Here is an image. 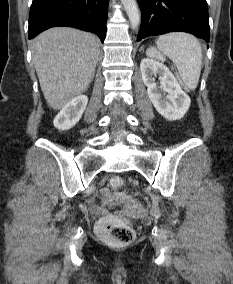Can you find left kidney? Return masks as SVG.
I'll return each instance as SVG.
<instances>
[{
    "instance_id": "5707ae66",
    "label": "left kidney",
    "mask_w": 233,
    "mask_h": 284,
    "mask_svg": "<svg viewBox=\"0 0 233 284\" xmlns=\"http://www.w3.org/2000/svg\"><path fill=\"white\" fill-rule=\"evenodd\" d=\"M140 70L149 99L158 113L170 121L184 117L191 101L172 72L164 64L150 58L142 59ZM153 75H159L160 87Z\"/></svg>"
}]
</instances>
